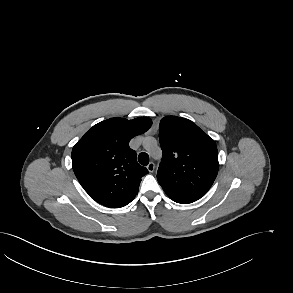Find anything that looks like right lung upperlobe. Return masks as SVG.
<instances>
[{
	"instance_id": "cb5924a9",
	"label": "right lung upper lobe",
	"mask_w": 293,
	"mask_h": 293,
	"mask_svg": "<svg viewBox=\"0 0 293 293\" xmlns=\"http://www.w3.org/2000/svg\"><path fill=\"white\" fill-rule=\"evenodd\" d=\"M152 125L147 117L110 118L93 126L73 147L74 173L96 202L109 208L129 204L137 195L141 177L148 173L137 163L129 141Z\"/></svg>"
}]
</instances>
